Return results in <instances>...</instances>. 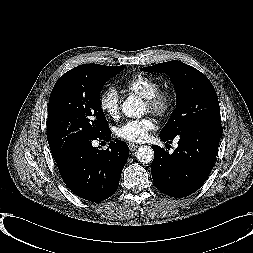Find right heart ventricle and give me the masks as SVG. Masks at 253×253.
<instances>
[{"mask_svg": "<svg viewBox=\"0 0 253 253\" xmlns=\"http://www.w3.org/2000/svg\"><path fill=\"white\" fill-rule=\"evenodd\" d=\"M129 91L147 99L160 90V83L146 75L136 74L126 83Z\"/></svg>", "mask_w": 253, "mask_h": 253, "instance_id": "e07e8e85", "label": "right heart ventricle"}]
</instances>
